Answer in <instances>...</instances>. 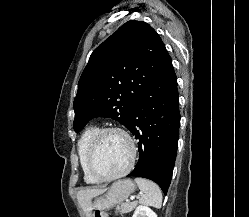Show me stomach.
I'll return each mask as SVG.
<instances>
[{
  "label": "stomach",
  "instance_id": "1",
  "mask_svg": "<svg viewBox=\"0 0 249 217\" xmlns=\"http://www.w3.org/2000/svg\"><path fill=\"white\" fill-rule=\"evenodd\" d=\"M136 189L134 182L131 179H122L114 182L107 194L99 197L93 204L94 215L103 214L111 208L123 203Z\"/></svg>",
  "mask_w": 249,
  "mask_h": 217
}]
</instances>
